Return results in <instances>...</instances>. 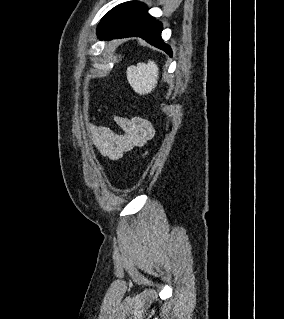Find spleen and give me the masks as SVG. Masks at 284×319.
Listing matches in <instances>:
<instances>
[{
    "instance_id": "1",
    "label": "spleen",
    "mask_w": 284,
    "mask_h": 319,
    "mask_svg": "<svg viewBox=\"0 0 284 319\" xmlns=\"http://www.w3.org/2000/svg\"><path fill=\"white\" fill-rule=\"evenodd\" d=\"M126 73L133 90L145 95L156 87L159 69L154 61L149 60L147 64L140 62L136 66H129Z\"/></svg>"
}]
</instances>
